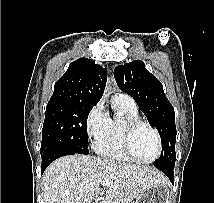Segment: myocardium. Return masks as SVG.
I'll list each match as a JSON object with an SVG mask.
<instances>
[{"label":"myocardium","instance_id":"1","mask_svg":"<svg viewBox=\"0 0 214 203\" xmlns=\"http://www.w3.org/2000/svg\"><path fill=\"white\" fill-rule=\"evenodd\" d=\"M140 127L149 128L153 132V134L156 138L157 152H156V155L151 160H141V159L137 158L132 150L133 135H134L135 131ZM122 144H123V149H124L126 155L134 162H137L140 164H146V165L152 164L159 159V157L162 153V141H161V137H160L158 130L154 126L149 124L148 122L140 120V119L131 120V121H128L125 123L123 132H122Z\"/></svg>","mask_w":214,"mask_h":203}]
</instances>
